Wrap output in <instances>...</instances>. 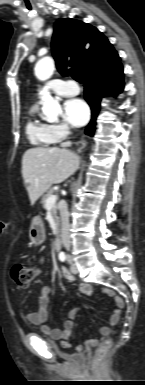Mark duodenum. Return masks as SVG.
<instances>
[{
  "instance_id": "410a0bca",
  "label": "duodenum",
  "mask_w": 145,
  "mask_h": 385,
  "mask_svg": "<svg viewBox=\"0 0 145 385\" xmlns=\"http://www.w3.org/2000/svg\"><path fill=\"white\" fill-rule=\"evenodd\" d=\"M62 242L60 236H56L55 241H54V248L56 251H59L61 249Z\"/></svg>"
}]
</instances>
